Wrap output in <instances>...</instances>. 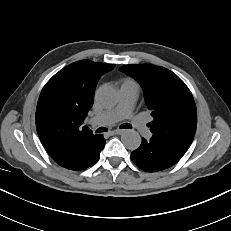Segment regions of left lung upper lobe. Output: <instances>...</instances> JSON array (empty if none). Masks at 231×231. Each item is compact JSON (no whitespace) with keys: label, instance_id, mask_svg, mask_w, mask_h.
<instances>
[{"label":"left lung upper lobe","instance_id":"5c2ea615","mask_svg":"<svg viewBox=\"0 0 231 231\" xmlns=\"http://www.w3.org/2000/svg\"><path fill=\"white\" fill-rule=\"evenodd\" d=\"M120 71L137 80L154 120L152 134L189 148L197 126V111L186 84L172 71L153 64L125 65Z\"/></svg>","mask_w":231,"mask_h":231}]
</instances>
